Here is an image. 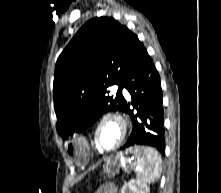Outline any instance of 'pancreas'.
<instances>
[{
    "mask_svg": "<svg viewBox=\"0 0 221 193\" xmlns=\"http://www.w3.org/2000/svg\"><path fill=\"white\" fill-rule=\"evenodd\" d=\"M104 172L108 175V178H111L115 176L116 173H118V169H111V168L105 167Z\"/></svg>",
    "mask_w": 221,
    "mask_h": 193,
    "instance_id": "pancreas-1",
    "label": "pancreas"
}]
</instances>
